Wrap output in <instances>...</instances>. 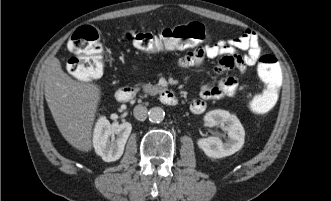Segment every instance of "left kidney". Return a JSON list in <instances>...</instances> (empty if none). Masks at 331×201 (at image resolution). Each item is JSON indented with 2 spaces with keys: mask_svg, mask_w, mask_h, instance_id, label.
<instances>
[{
  "mask_svg": "<svg viewBox=\"0 0 331 201\" xmlns=\"http://www.w3.org/2000/svg\"><path fill=\"white\" fill-rule=\"evenodd\" d=\"M209 126H220L228 132V140L223 143L218 137L201 138L198 147L210 158H223L240 150L244 144L245 130L239 119L225 110H212L204 116Z\"/></svg>",
  "mask_w": 331,
  "mask_h": 201,
  "instance_id": "5707ae66",
  "label": "left kidney"
}]
</instances>
